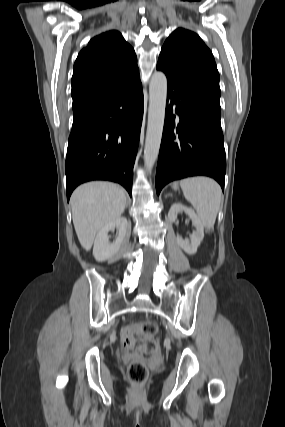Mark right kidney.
Listing matches in <instances>:
<instances>
[{
	"label": "right kidney",
	"mask_w": 285,
	"mask_h": 427,
	"mask_svg": "<svg viewBox=\"0 0 285 427\" xmlns=\"http://www.w3.org/2000/svg\"><path fill=\"white\" fill-rule=\"evenodd\" d=\"M128 222L125 217H119L102 227L95 238L93 256L98 262L111 260L118 253L127 233ZM117 229V237L109 243L108 232Z\"/></svg>",
	"instance_id": "obj_1"
}]
</instances>
